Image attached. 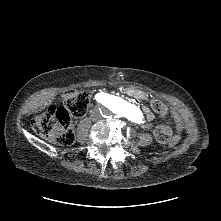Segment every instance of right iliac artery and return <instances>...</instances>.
<instances>
[{
    "label": "right iliac artery",
    "mask_w": 221,
    "mask_h": 221,
    "mask_svg": "<svg viewBox=\"0 0 221 221\" xmlns=\"http://www.w3.org/2000/svg\"><path fill=\"white\" fill-rule=\"evenodd\" d=\"M108 99V96L104 93H98L96 96V100L103 101V104L105 105L104 101Z\"/></svg>",
    "instance_id": "obj_1"
}]
</instances>
